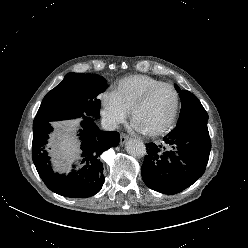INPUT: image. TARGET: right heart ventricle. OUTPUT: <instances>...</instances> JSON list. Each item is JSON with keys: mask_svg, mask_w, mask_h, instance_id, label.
Here are the masks:
<instances>
[{"mask_svg": "<svg viewBox=\"0 0 248 248\" xmlns=\"http://www.w3.org/2000/svg\"><path fill=\"white\" fill-rule=\"evenodd\" d=\"M159 83L162 82L148 75H129L116 84L112 93L119 104L129 112L148 89Z\"/></svg>", "mask_w": 248, "mask_h": 248, "instance_id": "right-heart-ventricle-1", "label": "right heart ventricle"}]
</instances>
